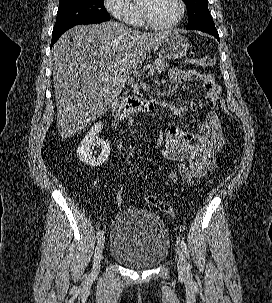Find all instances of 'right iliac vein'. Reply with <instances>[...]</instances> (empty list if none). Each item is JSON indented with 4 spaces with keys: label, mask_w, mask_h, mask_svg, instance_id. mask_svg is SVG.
<instances>
[{
    "label": "right iliac vein",
    "mask_w": 272,
    "mask_h": 303,
    "mask_svg": "<svg viewBox=\"0 0 272 303\" xmlns=\"http://www.w3.org/2000/svg\"><path fill=\"white\" fill-rule=\"evenodd\" d=\"M105 246V238L104 236H101L96 244L94 258H93V267L91 271V278L94 279L97 277L100 269V263L103 258V250Z\"/></svg>",
    "instance_id": "obj_1"
}]
</instances>
